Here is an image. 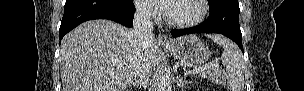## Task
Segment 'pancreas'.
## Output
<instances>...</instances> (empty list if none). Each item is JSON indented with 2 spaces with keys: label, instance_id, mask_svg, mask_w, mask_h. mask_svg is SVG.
Listing matches in <instances>:
<instances>
[{
  "label": "pancreas",
  "instance_id": "1",
  "mask_svg": "<svg viewBox=\"0 0 304 91\" xmlns=\"http://www.w3.org/2000/svg\"><path fill=\"white\" fill-rule=\"evenodd\" d=\"M203 74L204 75H213V74H218V71H213V72H211V71H204Z\"/></svg>",
  "mask_w": 304,
  "mask_h": 91
}]
</instances>
